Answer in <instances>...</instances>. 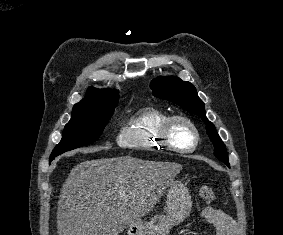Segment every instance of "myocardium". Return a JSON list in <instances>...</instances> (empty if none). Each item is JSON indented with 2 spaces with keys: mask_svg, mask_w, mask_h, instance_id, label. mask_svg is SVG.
Returning a JSON list of instances; mask_svg holds the SVG:
<instances>
[{
  "mask_svg": "<svg viewBox=\"0 0 283 235\" xmlns=\"http://www.w3.org/2000/svg\"><path fill=\"white\" fill-rule=\"evenodd\" d=\"M177 122L184 123L190 128V130L193 134V137H194V142L190 147H179V146H176L173 143L172 138H171V128ZM159 135H160V138H161L163 144L169 150L179 152V153L193 152L194 150H196V148H197V146L200 142V134H199L197 126L195 125V123L190 118H188L187 116H184V115H171V116H169L164 121V123L162 124L160 131H159Z\"/></svg>",
  "mask_w": 283,
  "mask_h": 235,
  "instance_id": "1",
  "label": "myocardium"
}]
</instances>
